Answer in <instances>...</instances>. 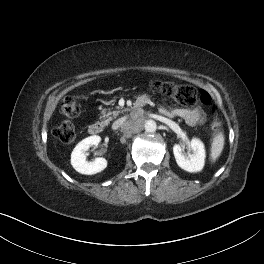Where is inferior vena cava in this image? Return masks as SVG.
I'll return each instance as SVG.
<instances>
[{
	"mask_svg": "<svg viewBox=\"0 0 264 264\" xmlns=\"http://www.w3.org/2000/svg\"><path fill=\"white\" fill-rule=\"evenodd\" d=\"M124 122H125V119H118L117 121H114L112 125V129L116 130L118 128H121Z\"/></svg>",
	"mask_w": 264,
	"mask_h": 264,
	"instance_id": "inferior-vena-cava-1",
	"label": "inferior vena cava"
}]
</instances>
